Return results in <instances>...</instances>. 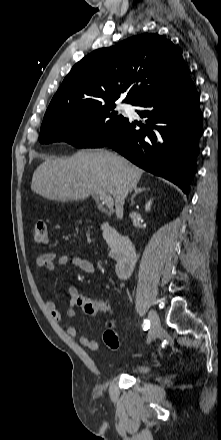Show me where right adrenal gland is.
Returning a JSON list of instances; mask_svg holds the SVG:
<instances>
[{
	"instance_id": "2a0ac1e0",
	"label": "right adrenal gland",
	"mask_w": 221,
	"mask_h": 440,
	"mask_svg": "<svg viewBox=\"0 0 221 440\" xmlns=\"http://www.w3.org/2000/svg\"><path fill=\"white\" fill-rule=\"evenodd\" d=\"M145 190H146L145 187L138 188L137 185H135V187H134V193H133V195H132V197H131V202H132L131 205H134V204H135L134 199H135L136 195H137L138 193L142 192V191H145Z\"/></svg>"
}]
</instances>
